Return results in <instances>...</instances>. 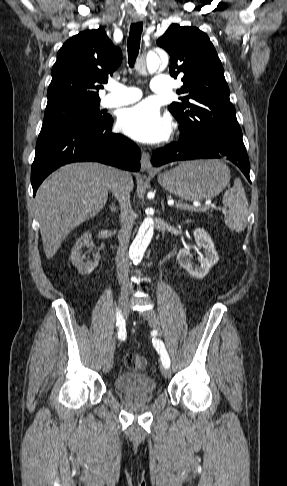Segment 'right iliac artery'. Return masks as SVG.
Wrapping results in <instances>:
<instances>
[{"instance_id":"right-iliac-artery-1","label":"right iliac artery","mask_w":287,"mask_h":486,"mask_svg":"<svg viewBox=\"0 0 287 486\" xmlns=\"http://www.w3.org/2000/svg\"><path fill=\"white\" fill-rule=\"evenodd\" d=\"M117 327L119 329L118 338L124 340L126 338L125 320L120 312H117Z\"/></svg>"}]
</instances>
